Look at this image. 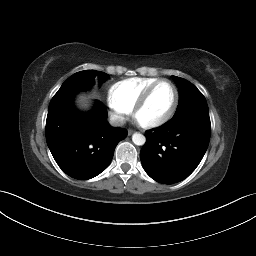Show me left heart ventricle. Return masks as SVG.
Segmentation results:
<instances>
[{
	"mask_svg": "<svg viewBox=\"0 0 256 256\" xmlns=\"http://www.w3.org/2000/svg\"><path fill=\"white\" fill-rule=\"evenodd\" d=\"M173 99L174 90L170 84L158 85L139 112L138 119L142 122H149L162 117L171 107Z\"/></svg>",
	"mask_w": 256,
	"mask_h": 256,
	"instance_id": "obj_1",
	"label": "left heart ventricle"
}]
</instances>
